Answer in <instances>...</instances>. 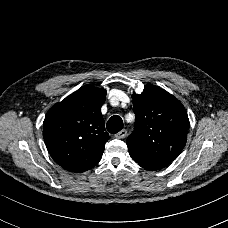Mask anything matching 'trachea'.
Wrapping results in <instances>:
<instances>
[{"label": "trachea", "instance_id": "3493384b", "mask_svg": "<svg viewBox=\"0 0 228 228\" xmlns=\"http://www.w3.org/2000/svg\"><path fill=\"white\" fill-rule=\"evenodd\" d=\"M106 127L108 132L116 134L123 128V120L118 115H114L108 120Z\"/></svg>", "mask_w": 228, "mask_h": 228}]
</instances>
